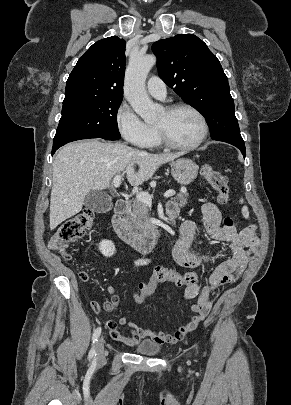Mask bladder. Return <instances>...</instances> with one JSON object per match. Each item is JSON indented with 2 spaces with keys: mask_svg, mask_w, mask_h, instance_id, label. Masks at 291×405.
I'll return each instance as SVG.
<instances>
[{
  "mask_svg": "<svg viewBox=\"0 0 291 405\" xmlns=\"http://www.w3.org/2000/svg\"><path fill=\"white\" fill-rule=\"evenodd\" d=\"M160 345L152 340H144L136 345V351L142 355L154 356L160 352Z\"/></svg>",
  "mask_w": 291,
  "mask_h": 405,
  "instance_id": "bladder-1",
  "label": "bladder"
}]
</instances>
